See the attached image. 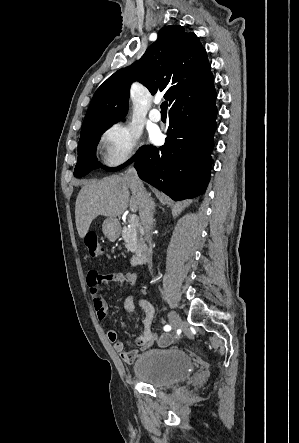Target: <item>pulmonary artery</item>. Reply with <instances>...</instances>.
I'll list each match as a JSON object with an SVG mask.
<instances>
[{
    "instance_id": "e3ab8cb5",
    "label": "pulmonary artery",
    "mask_w": 299,
    "mask_h": 443,
    "mask_svg": "<svg viewBox=\"0 0 299 443\" xmlns=\"http://www.w3.org/2000/svg\"><path fill=\"white\" fill-rule=\"evenodd\" d=\"M158 100H155L154 103L157 105L158 104ZM149 118L154 121V122H158L161 120V114L159 112L158 109L153 108L150 112H149Z\"/></svg>"
}]
</instances>
